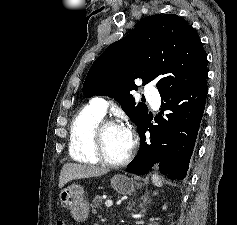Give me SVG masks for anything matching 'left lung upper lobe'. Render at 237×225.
I'll return each instance as SVG.
<instances>
[{
    "label": "left lung upper lobe",
    "mask_w": 237,
    "mask_h": 225,
    "mask_svg": "<svg viewBox=\"0 0 237 225\" xmlns=\"http://www.w3.org/2000/svg\"><path fill=\"white\" fill-rule=\"evenodd\" d=\"M205 76L207 55L192 26L174 14L153 15L95 60L83 84V94L114 97L139 128L148 108L136 104L130 93L137 90L135 79L141 78L143 85L157 81L161 94L198 84Z\"/></svg>",
    "instance_id": "5c2ea615"
}]
</instances>
